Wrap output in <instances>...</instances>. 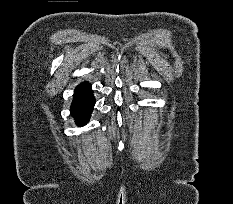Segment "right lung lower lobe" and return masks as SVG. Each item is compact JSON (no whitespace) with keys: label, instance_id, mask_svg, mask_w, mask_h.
I'll list each match as a JSON object with an SVG mask.
<instances>
[{"label":"right lung lower lobe","instance_id":"right-lung-lower-lobe-1","mask_svg":"<svg viewBox=\"0 0 233 204\" xmlns=\"http://www.w3.org/2000/svg\"><path fill=\"white\" fill-rule=\"evenodd\" d=\"M94 104L91 85L88 83L80 84L75 90L71 105V113L79 125H83L89 120Z\"/></svg>","mask_w":233,"mask_h":204}]
</instances>
